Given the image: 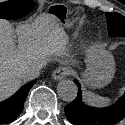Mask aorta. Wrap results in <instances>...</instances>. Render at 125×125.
Returning <instances> with one entry per match:
<instances>
[{"label":"aorta","instance_id":"1","mask_svg":"<svg viewBox=\"0 0 125 125\" xmlns=\"http://www.w3.org/2000/svg\"><path fill=\"white\" fill-rule=\"evenodd\" d=\"M77 92V86L71 80H62L58 83L57 93L59 97L64 101H73L77 96Z\"/></svg>","mask_w":125,"mask_h":125}]
</instances>
